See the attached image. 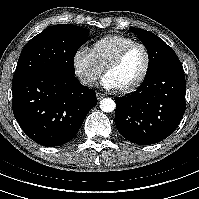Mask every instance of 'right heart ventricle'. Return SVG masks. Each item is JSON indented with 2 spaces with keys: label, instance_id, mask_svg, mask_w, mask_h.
Here are the masks:
<instances>
[{
  "label": "right heart ventricle",
  "instance_id": "obj_1",
  "mask_svg": "<svg viewBox=\"0 0 199 199\" xmlns=\"http://www.w3.org/2000/svg\"><path fill=\"white\" fill-rule=\"evenodd\" d=\"M133 41L132 38L123 35H107L91 45L90 54L102 70L121 48Z\"/></svg>",
  "mask_w": 199,
  "mask_h": 199
}]
</instances>
